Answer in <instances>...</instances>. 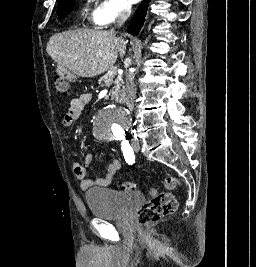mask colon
<instances>
[{
  "label": "colon",
  "mask_w": 256,
  "mask_h": 267,
  "mask_svg": "<svg viewBox=\"0 0 256 267\" xmlns=\"http://www.w3.org/2000/svg\"><path fill=\"white\" fill-rule=\"evenodd\" d=\"M55 91L58 96H65L70 93L71 84L65 81V77H55ZM180 186L179 181L173 175L165 176V187L167 189H177ZM120 188L124 191L135 192L138 190V185L135 182H122ZM153 199L146 202L137 212V223L141 224L142 228H151L153 222H157L162 218L172 214L177 209V201L172 193H162L158 195L156 188L150 189ZM159 196V197H158Z\"/></svg>",
  "instance_id": "1"
}]
</instances>
